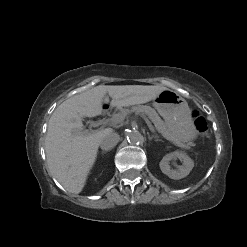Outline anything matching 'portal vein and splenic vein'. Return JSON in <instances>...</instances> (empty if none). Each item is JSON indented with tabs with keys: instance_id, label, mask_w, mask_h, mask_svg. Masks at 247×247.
<instances>
[{
	"instance_id": "18ae733b",
	"label": "portal vein and splenic vein",
	"mask_w": 247,
	"mask_h": 247,
	"mask_svg": "<svg viewBox=\"0 0 247 247\" xmlns=\"http://www.w3.org/2000/svg\"><path fill=\"white\" fill-rule=\"evenodd\" d=\"M141 117L145 120L147 126L149 127V129L151 130V132H155L153 125L151 124V122L148 120V118L145 115H141ZM124 118L120 115H115L112 119L111 122L113 123H119L121 121H123Z\"/></svg>"
}]
</instances>
